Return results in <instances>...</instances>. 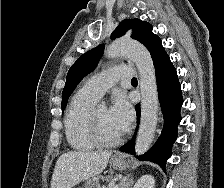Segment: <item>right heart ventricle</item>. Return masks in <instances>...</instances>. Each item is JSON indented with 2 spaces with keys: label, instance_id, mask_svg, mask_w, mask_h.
<instances>
[{
  "label": "right heart ventricle",
  "instance_id": "1",
  "mask_svg": "<svg viewBox=\"0 0 224 188\" xmlns=\"http://www.w3.org/2000/svg\"><path fill=\"white\" fill-rule=\"evenodd\" d=\"M96 101L97 98L81 89L74 95L65 113L66 138L75 150H91L97 145L88 127V117Z\"/></svg>",
  "mask_w": 224,
  "mask_h": 188
}]
</instances>
